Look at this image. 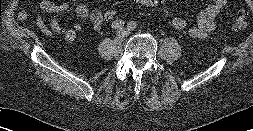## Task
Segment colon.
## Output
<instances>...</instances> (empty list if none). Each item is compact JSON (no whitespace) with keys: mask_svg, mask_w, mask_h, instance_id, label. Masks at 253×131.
Returning a JSON list of instances; mask_svg holds the SVG:
<instances>
[{"mask_svg":"<svg viewBox=\"0 0 253 131\" xmlns=\"http://www.w3.org/2000/svg\"><path fill=\"white\" fill-rule=\"evenodd\" d=\"M141 5L147 7H154L157 6L161 0H135ZM120 15V8L118 6H112L105 10H103V19L104 22H112L117 19ZM247 17L248 14L245 10H240L236 13V16L233 21V29L235 30H242L247 27Z\"/></svg>","mask_w":253,"mask_h":131,"instance_id":"obj_1","label":"colon"}]
</instances>
